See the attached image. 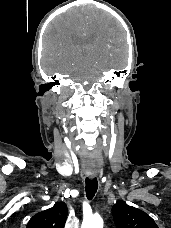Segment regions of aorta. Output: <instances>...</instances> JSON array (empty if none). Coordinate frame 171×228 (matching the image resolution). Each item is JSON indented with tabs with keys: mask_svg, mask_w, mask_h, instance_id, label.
<instances>
[{
	"mask_svg": "<svg viewBox=\"0 0 171 228\" xmlns=\"http://www.w3.org/2000/svg\"><path fill=\"white\" fill-rule=\"evenodd\" d=\"M81 228H103V220L100 216H91L83 220Z\"/></svg>",
	"mask_w": 171,
	"mask_h": 228,
	"instance_id": "aorta-1",
	"label": "aorta"
}]
</instances>
